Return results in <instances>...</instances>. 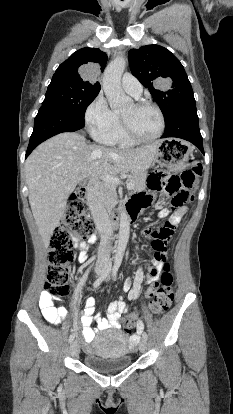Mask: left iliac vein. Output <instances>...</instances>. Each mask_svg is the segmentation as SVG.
<instances>
[{"instance_id":"4c4485c4","label":"left iliac vein","mask_w":233,"mask_h":414,"mask_svg":"<svg viewBox=\"0 0 233 414\" xmlns=\"http://www.w3.org/2000/svg\"><path fill=\"white\" fill-rule=\"evenodd\" d=\"M139 350L140 352H145L147 350V341L146 339L142 338L139 343Z\"/></svg>"}]
</instances>
